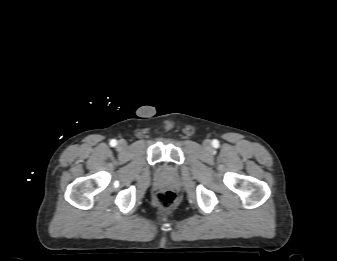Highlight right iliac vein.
I'll return each instance as SVG.
<instances>
[{
	"label": "right iliac vein",
	"instance_id": "obj_1",
	"mask_svg": "<svg viewBox=\"0 0 337 261\" xmlns=\"http://www.w3.org/2000/svg\"><path fill=\"white\" fill-rule=\"evenodd\" d=\"M126 145H127V143H126L125 140H120V141L118 142V148H119V149H124V148L126 147Z\"/></svg>",
	"mask_w": 337,
	"mask_h": 261
}]
</instances>
